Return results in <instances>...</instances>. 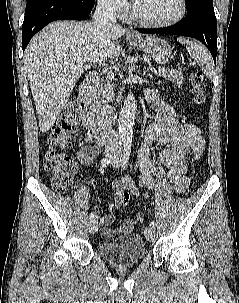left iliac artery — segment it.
Masks as SVG:
<instances>
[{"mask_svg":"<svg viewBox=\"0 0 239 303\" xmlns=\"http://www.w3.org/2000/svg\"><path fill=\"white\" fill-rule=\"evenodd\" d=\"M131 147H132V143L131 142H126L124 144V150H123L122 158L120 159V162L122 163V166L124 168L127 167V164H128V161H129V157H130V153H131ZM150 226L155 227L156 226L155 221H151L150 222Z\"/></svg>","mask_w":239,"mask_h":303,"instance_id":"1","label":"left iliac artery"}]
</instances>
